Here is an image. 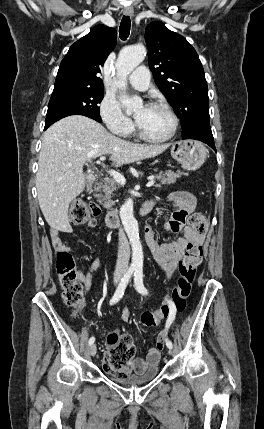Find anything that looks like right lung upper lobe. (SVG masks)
Returning <instances> with one entry per match:
<instances>
[{
  "label": "right lung upper lobe",
  "instance_id": "right-lung-upper-lobe-1",
  "mask_svg": "<svg viewBox=\"0 0 264 429\" xmlns=\"http://www.w3.org/2000/svg\"><path fill=\"white\" fill-rule=\"evenodd\" d=\"M116 38L114 28L99 24L75 42L60 64L54 90L67 87L104 89L99 74L116 45Z\"/></svg>",
  "mask_w": 264,
  "mask_h": 429
}]
</instances>
